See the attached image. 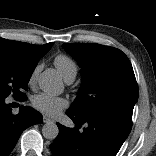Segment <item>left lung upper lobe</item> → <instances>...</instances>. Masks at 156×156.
<instances>
[{"label": "left lung upper lobe", "instance_id": "left-lung-upper-lobe-1", "mask_svg": "<svg viewBox=\"0 0 156 156\" xmlns=\"http://www.w3.org/2000/svg\"><path fill=\"white\" fill-rule=\"evenodd\" d=\"M63 48L82 68L81 88L69 112L89 115L116 110L132 116L138 86L132 65L122 51L93 43H65Z\"/></svg>", "mask_w": 156, "mask_h": 156}]
</instances>
